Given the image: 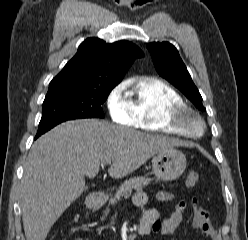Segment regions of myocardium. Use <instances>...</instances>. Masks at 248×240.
Masks as SVG:
<instances>
[{"instance_id": "f54148a6", "label": "myocardium", "mask_w": 248, "mask_h": 240, "mask_svg": "<svg viewBox=\"0 0 248 240\" xmlns=\"http://www.w3.org/2000/svg\"><path fill=\"white\" fill-rule=\"evenodd\" d=\"M165 123L173 131L187 136L199 137L206 128L202 116L186 103H178L170 106L165 112ZM198 125V131L194 130V125Z\"/></svg>"}]
</instances>
